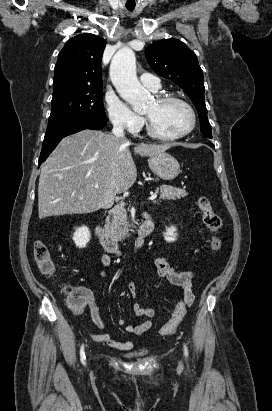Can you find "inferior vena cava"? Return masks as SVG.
Here are the masks:
<instances>
[{
    "label": "inferior vena cava",
    "mask_w": 272,
    "mask_h": 411,
    "mask_svg": "<svg viewBox=\"0 0 272 411\" xmlns=\"http://www.w3.org/2000/svg\"><path fill=\"white\" fill-rule=\"evenodd\" d=\"M112 134L117 137V138H124V128L122 124L120 123H114L113 124V129H112Z\"/></svg>",
    "instance_id": "inferior-vena-cava-1"
}]
</instances>
